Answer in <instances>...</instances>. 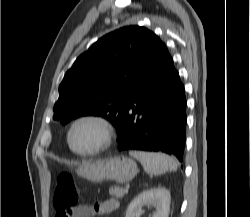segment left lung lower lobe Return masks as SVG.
Segmentation results:
<instances>
[{"label":"left lung lower lobe","mask_w":250,"mask_h":217,"mask_svg":"<svg viewBox=\"0 0 250 217\" xmlns=\"http://www.w3.org/2000/svg\"><path fill=\"white\" fill-rule=\"evenodd\" d=\"M118 132V150L164 152L182 162L186 134L184 86L162 43L149 71L131 94Z\"/></svg>","instance_id":"obj_1"}]
</instances>
